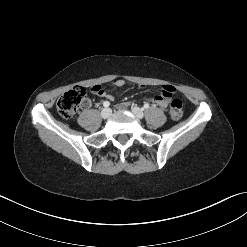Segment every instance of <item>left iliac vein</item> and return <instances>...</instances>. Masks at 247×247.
I'll return each instance as SVG.
<instances>
[{"label": "left iliac vein", "instance_id": "4c4485c4", "mask_svg": "<svg viewBox=\"0 0 247 247\" xmlns=\"http://www.w3.org/2000/svg\"><path fill=\"white\" fill-rule=\"evenodd\" d=\"M132 112H133V114H134L137 118H139V119H142V118L144 117V112H143V110L140 109V108L137 107V106L132 107Z\"/></svg>", "mask_w": 247, "mask_h": 247}]
</instances>
